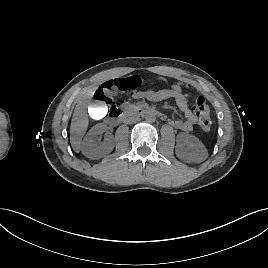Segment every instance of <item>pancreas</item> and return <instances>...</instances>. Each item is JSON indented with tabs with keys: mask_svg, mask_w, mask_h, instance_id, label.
Returning <instances> with one entry per match:
<instances>
[{
	"mask_svg": "<svg viewBox=\"0 0 268 268\" xmlns=\"http://www.w3.org/2000/svg\"><path fill=\"white\" fill-rule=\"evenodd\" d=\"M123 105H124V107H126V108L131 106V104H130L129 102H126V103H124Z\"/></svg>",
	"mask_w": 268,
	"mask_h": 268,
	"instance_id": "pancreas-1",
	"label": "pancreas"
}]
</instances>
